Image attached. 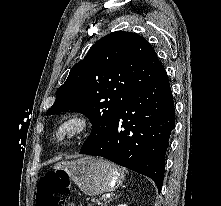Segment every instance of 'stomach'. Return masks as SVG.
<instances>
[{
    "mask_svg": "<svg viewBox=\"0 0 221 206\" xmlns=\"http://www.w3.org/2000/svg\"><path fill=\"white\" fill-rule=\"evenodd\" d=\"M52 168L65 170L70 179L88 195L113 191L120 187L124 180L121 168L96 157H84L72 162H56Z\"/></svg>",
    "mask_w": 221,
    "mask_h": 206,
    "instance_id": "0dacf381",
    "label": "stomach"
}]
</instances>
